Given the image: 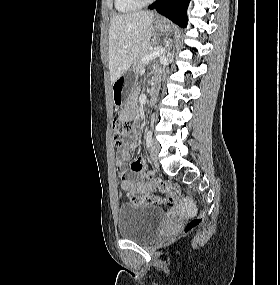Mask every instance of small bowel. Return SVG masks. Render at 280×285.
Masks as SVG:
<instances>
[{"label":"small bowel","instance_id":"1","mask_svg":"<svg viewBox=\"0 0 280 285\" xmlns=\"http://www.w3.org/2000/svg\"><path fill=\"white\" fill-rule=\"evenodd\" d=\"M122 115L128 116L125 110ZM137 147L136 140L132 139L119 149V157L116 159V167L121 188L126 192H137L141 194L151 193L154 189V183L150 181L146 170V160L140 155L135 158L127 168L130 160V152ZM137 175L136 180L127 177L128 173Z\"/></svg>","mask_w":280,"mask_h":285}]
</instances>
